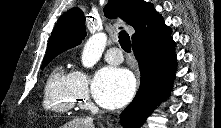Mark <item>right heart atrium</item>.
I'll list each match as a JSON object with an SVG mask.
<instances>
[{"instance_id": "d8ad5b80", "label": "right heart atrium", "mask_w": 221, "mask_h": 128, "mask_svg": "<svg viewBox=\"0 0 221 128\" xmlns=\"http://www.w3.org/2000/svg\"><path fill=\"white\" fill-rule=\"evenodd\" d=\"M72 84L78 100L83 104H90L87 73L80 69L74 70L72 72Z\"/></svg>"}]
</instances>
